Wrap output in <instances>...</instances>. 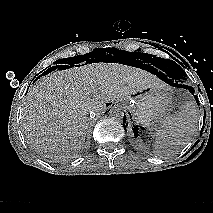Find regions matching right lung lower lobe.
Segmentation results:
<instances>
[{
	"instance_id": "98d812e1",
	"label": "right lung lower lobe",
	"mask_w": 213,
	"mask_h": 213,
	"mask_svg": "<svg viewBox=\"0 0 213 213\" xmlns=\"http://www.w3.org/2000/svg\"><path fill=\"white\" fill-rule=\"evenodd\" d=\"M57 68L58 69H63V68H66V66L65 65H58V64H56L55 66H53L50 69L46 70L45 74L50 73L51 71H53V70H55Z\"/></svg>"
}]
</instances>
